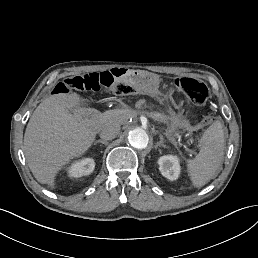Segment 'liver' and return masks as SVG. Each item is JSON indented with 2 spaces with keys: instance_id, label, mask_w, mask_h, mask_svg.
I'll use <instances>...</instances> for the list:
<instances>
[{
  "instance_id": "obj_1",
  "label": "liver",
  "mask_w": 258,
  "mask_h": 258,
  "mask_svg": "<svg viewBox=\"0 0 258 258\" xmlns=\"http://www.w3.org/2000/svg\"><path fill=\"white\" fill-rule=\"evenodd\" d=\"M76 102L75 94L51 96L35 109L28 122L24 135L25 156L40 183H51L56 171L83 153L94 140L96 133L88 123L92 113L99 112L93 108L72 110Z\"/></svg>"
}]
</instances>
